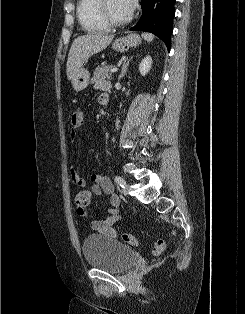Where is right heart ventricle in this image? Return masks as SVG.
Returning a JSON list of instances; mask_svg holds the SVG:
<instances>
[{
    "label": "right heart ventricle",
    "mask_w": 245,
    "mask_h": 314,
    "mask_svg": "<svg viewBox=\"0 0 245 314\" xmlns=\"http://www.w3.org/2000/svg\"><path fill=\"white\" fill-rule=\"evenodd\" d=\"M97 0H78L77 18L81 27L88 33H102L109 28L104 25L96 13Z\"/></svg>",
    "instance_id": "obj_1"
}]
</instances>
